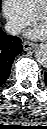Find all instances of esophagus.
<instances>
[{"instance_id":"esophagus-1","label":"esophagus","mask_w":47,"mask_h":129,"mask_svg":"<svg viewBox=\"0 0 47 129\" xmlns=\"http://www.w3.org/2000/svg\"><path fill=\"white\" fill-rule=\"evenodd\" d=\"M34 47H35V44L32 43V42L25 41V42L23 43V49H24L25 51H30V50H32Z\"/></svg>"}]
</instances>
